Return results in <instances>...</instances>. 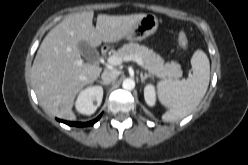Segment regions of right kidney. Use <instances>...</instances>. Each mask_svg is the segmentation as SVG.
I'll return each instance as SVG.
<instances>
[{
  "instance_id": "obj_1",
  "label": "right kidney",
  "mask_w": 248,
  "mask_h": 165,
  "mask_svg": "<svg viewBox=\"0 0 248 165\" xmlns=\"http://www.w3.org/2000/svg\"><path fill=\"white\" fill-rule=\"evenodd\" d=\"M103 98L101 86H91L82 90L76 100V109L81 114L92 115L100 106Z\"/></svg>"
}]
</instances>
